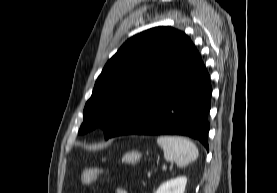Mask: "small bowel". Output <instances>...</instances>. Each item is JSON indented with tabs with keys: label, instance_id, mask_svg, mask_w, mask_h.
Here are the masks:
<instances>
[{
	"label": "small bowel",
	"instance_id": "c3829d8e",
	"mask_svg": "<svg viewBox=\"0 0 277 193\" xmlns=\"http://www.w3.org/2000/svg\"><path fill=\"white\" fill-rule=\"evenodd\" d=\"M115 193H128V192H127V190L124 189V188H117V189L115 190Z\"/></svg>",
	"mask_w": 277,
	"mask_h": 193
}]
</instances>
